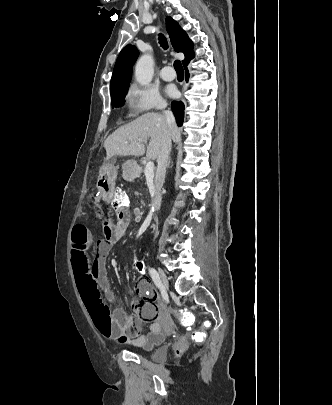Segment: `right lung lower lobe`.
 <instances>
[{"label":"right lung lower lobe","instance_id":"1","mask_svg":"<svg viewBox=\"0 0 332 405\" xmlns=\"http://www.w3.org/2000/svg\"><path fill=\"white\" fill-rule=\"evenodd\" d=\"M188 64H189V62L184 64V69L186 70V73H185L186 81H188V78H189V74H188V70H187ZM171 107H172L174 116L176 118L177 125L182 126L183 119H184V104L182 102L173 101L171 104Z\"/></svg>","mask_w":332,"mask_h":405}]
</instances>
